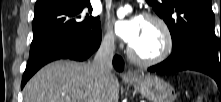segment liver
I'll use <instances>...</instances> for the list:
<instances>
[{
  "mask_svg": "<svg viewBox=\"0 0 221 102\" xmlns=\"http://www.w3.org/2000/svg\"><path fill=\"white\" fill-rule=\"evenodd\" d=\"M24 102H118L119 83L93 63L52 62L25 85Z\"/></svg>",
  "mask_w": 221,
  "mask_h": 102,
  "instance_id": "1",
  "label": "liver"
}]
</instances>
